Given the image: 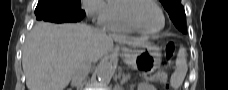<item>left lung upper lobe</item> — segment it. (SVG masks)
<instances>
[{
    "mask_svg": "<svg viewBox=\"0 0 228 90\" xmlns=\"http://www.w3.org/2000/svg\"><path fill=\"white\" fill-rule=\"evenodd\" d=\"M168 11L174 25L183 33H186V15L181 0H160Z\"/></svg>",
    "mask_w": 228,
    "mask_h": 90,
    "instance_id": "5c2ea615",
    "label": "left lung upper lobe"
}]
</instances>
